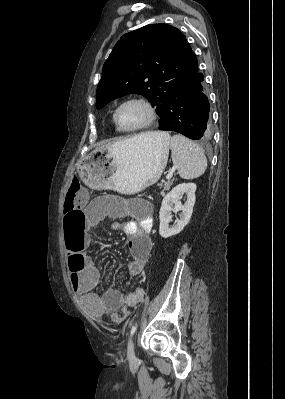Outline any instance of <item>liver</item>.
<instances>
[{"instance_id": "1", "label": "liver", "mask_w": 285, "mask_h": 399, "mask_svg": "<svg viewBox=\"0 0 285 399\" xmlns=\"http://www.w3.org/2000/svg\"><path fill=\"white\" fill-rule=\"evenodd\" d=\"M158 135V132H147V133H142L141 135L135 136V137H144V138H150V139H155ZM128 140V139H127ZM125 141V140H124ZM119 142L116 143H108L105 145L100 146L99 148H110L113 145L118 144Z\"/></svg>"}]
</instances>
